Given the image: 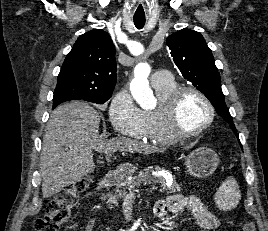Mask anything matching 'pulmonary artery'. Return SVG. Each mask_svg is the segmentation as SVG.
<instances>
[{"label":"pulmonary artery","mask_w":268,"mask_h":231,"mask_svg":"<svg viewBox=\"0 0 268 231\" xmlns=\"http://www.w3.org/2000/svg\"><path fill=\"white\" fill-rule=\"evenodd\" d=\"M168 80H170L169 72L164 69L154 72L150 78L152 85H156L158 83L168 81Z\"/></svg>","instance_id":"pulmonary-artery-1"}]
</instances>
